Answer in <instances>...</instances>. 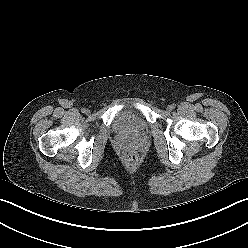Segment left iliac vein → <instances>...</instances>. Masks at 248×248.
<instances>
[{"mask_svg": "<svg viewBox=\"0 0 248 248\" xmlns=\"http://www.w3.org/2000/svg\"><path fill=\"white\" fill-rule=\"evenodd\" d=\"M166 110L170 112L172 110L171 105H168L167 108H166Z\"/></svg>", "mask_w": 248, "mask_h": 248, "instance_id": "obj_1", "label": "left iliac vein"}]
</instances>
